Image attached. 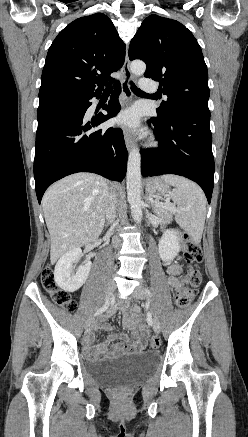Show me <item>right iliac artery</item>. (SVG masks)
<instances>
[{
    "label": "right iliac artery",
    "mask_w": 248,
    "mask_h": 437,
    "mask_svg": "<svg viewBox=\"0 0 248 437\" xmlns=\"http://www.w3.org/2000/svg\"><path fill=\"white\" fill-rule=\"evenodd\" d=\"M108 306H109V300L107 299L105 304L96 311L95 316H98L101 313H103L108 308Z\"/></svg>",
    "instance_id": "1"
}]
</instances>
